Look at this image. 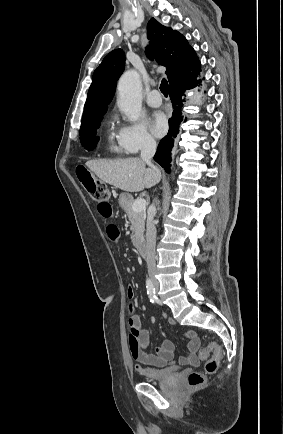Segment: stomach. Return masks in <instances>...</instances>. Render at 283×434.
<instances>
[{
    "label": "stomach",
    "instance_id": "obj_1",
    "mask_svg": "<svg viewBox=\"0 0 283 434\" xmlns=\"http://www.w3.org/2000/svg\"><path fill=\"white\" fill-rule=\"evenodd\" d=\"M132 201V196L129 193H121L118 199L119 205L122 208L127 207Z\"/></svg>",
    "mask_w": 283,
    "mask_h": 434
}]
</instances>
